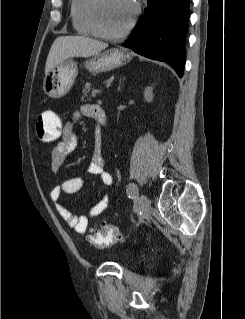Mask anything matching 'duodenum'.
I'll return each instance as SVG.
<instances>
[{"label": "duodenum", "mask_w": 245, "mask_h": 319, "mask_svg": "<svg viewBox=\"0 0 245 319\" xmlns=\"http://www.w3.org/2000/svg\"><path fill=\"white\" fill-rule=\"evenodd\" d=\"M98 122H99L101 125H105V124H106V116H105L104 113L98 116Z\"/></svg>", "instance_id": "obj_1"}]
</instances>
